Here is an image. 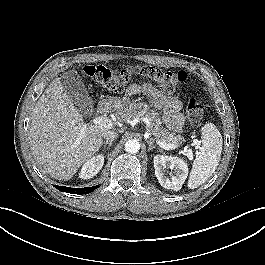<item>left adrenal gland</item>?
Wrapping results in <instances>:
<instances>
[{
	"label": "left adrenal gland",
	"mask_w": 265,
	"mask_h": 265,
	"mask_svg": "<svg viewBox=\"0 0 265 265\" xmlns=\"http://www.w3.org/2000/svg\"><path fill=\"white\" fill-rule=\"evenodd\" d=\"M147 143H148V145H149V147H148V151H151V150H153V149L155 148V146H154V144H153L152 141H147Z\"/></svg>",
	"instance_id": "left-adrenal-gland-1"
}]
</instances>
